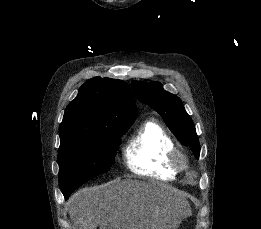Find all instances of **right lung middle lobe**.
<instances>
[{"label":"right lung middle lobe","mask_w":261,"mask_h":229,"mask_svg":"<svg viewBox=\"0 0 261 229\" xmlns=\"http://www.w3.org/2000/svg\"><path fill=\"white\" fill-rule=\"evenodd\" d=\"M131 124L99 128L96 136L60 145L59 184L66 200L76 188L110 169L120 136L127 132Z\"/></svg>","instance_id":"dd1d6c3e"}]
</instances>
